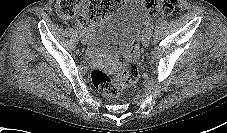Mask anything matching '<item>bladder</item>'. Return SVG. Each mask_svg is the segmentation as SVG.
Wrapping results in <instances>:
<instances>
[{"label":"bladder","mask_w":227,"mask_h":133,"mask_svg":"<svg viewBox=\"0 0 227 133\" xmlns=\"http://www.w3.org/2000/svg\"><path fill=\"white\" fill-rule=\"evenodd\" d=\"M145 18L144 1L127 0L100 24L92 36L90 47L112 56L125 55L136 40Z\"/></svg>","instance_id":"bladder-1"}]
</instances>
